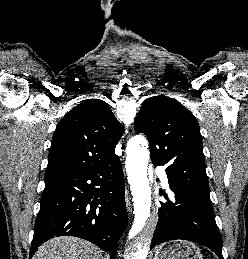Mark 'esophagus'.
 <instances>
[{
    "mask_svg": "<svg viewBox=\"0 0 248 259\" xmlns=\"http://www.w3.org/2000/svg\"><path fill=\"white\" fill-rule=\"evenodd\" d=\"M125 202L128 212H131V198L128 189L125 190Z\"/></svg>",
    "mask_w": 248,
    "mask_h": 259,
    "instance_id": "1",
    "label": "esophagus"
}]
</instances>
